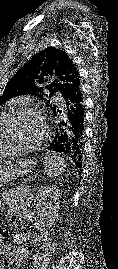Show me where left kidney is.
Wrapping results in <instances>:
<instances>
[{"label":"left kidney","mask_w":118,"mask_h":269,"mask_svg":"<svg viewBox=\"0 0 118 269\" xmlns=\"http://www.w3.org/2000/svg\"><path fill=\"white\" fill-rule=\"evenodd\" d=\"M61 192L57 186H40L35 198V210L40 222L53 227L59 216Z\"/></svg>","instance_id":"left-kidney-1"}]
</instances>
